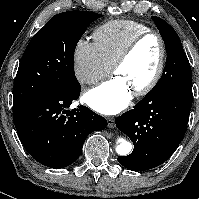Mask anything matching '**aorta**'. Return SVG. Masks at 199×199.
I'll return each instance as SVG.
<instances>
[{
    "instance_id": "obj_1",
    "label": "aorta",
    "mask_w": 199,
    "mask_h": 199,
    "mask_svg": "<svg viewBox=\"0 0 199 199\" xmlns=\"http://www.w3.org/2000/svg\"><path fill=\"white\" fill-rule=\"evenodd\" d=\"M115 149L118 155L126 156L131 152L132 144L124 138H119Z\"/></svg>"
}]
</instances>
